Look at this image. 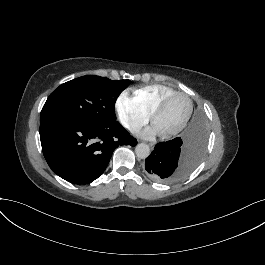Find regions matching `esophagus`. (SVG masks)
Wrapping results in <instances>:
<instances>
[{
  "label": "esophagus",
  "mask_w": 265,
  "mask_h": 265,
  "mask_svg": "<svg viewBox=\"0 0 265 265\" xmlns=\"http://www.w3.org/2000/svg\"><path fill=\"white\" fill-rule=\"evenodd\" d=\"M154 143H149V146L151 147V148H153L154 147Z\"/></svg>",
  "instance_id": "1"
}]
</instances>
